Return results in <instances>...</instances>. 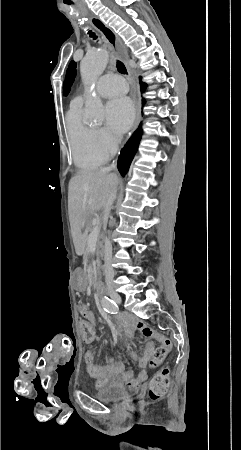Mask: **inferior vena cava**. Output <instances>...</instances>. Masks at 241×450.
Masks as SVG:
<instances>
[{"label":"inferior vena cava","instance_id":"inferior-vena-cava-1","mask_svg":"<svg viewBox=\"0 0 241 450\" xmlns=\"http://www.w3.org/2000/svg\"><path fill=\"white\" fill-rule=\"evenodd\" d=\"M122 140V138H120ZM112 168H116V164H111L110 168H105L106 172H111ZM116 198V190H113L111 194L110 200H108L105 206V212L109 214L111 210V206ZM104 274L106 278L107 284H111L113 282V278L115 276L113 266H112V244L108 238H105V246H104Z\"/></svg>","mask_w":241,"mask_h":450}]
</instances>
